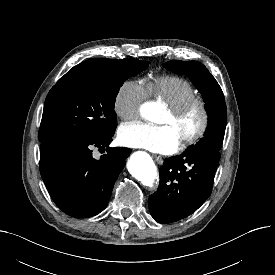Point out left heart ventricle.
<instances>
[{"instance_id":"obj_1","label":"left heart ventricle","mask_w":275,"mask_h":275,"mask_svg":"<svg viewBox=\"0 0 275 275\" xmlns=\"http://www.w3.org/2000/svg\"><path fill=\"white\" fill-rule=\"evenodd\" d=\"M201 122V112L195 107L179 118H173L167 110L160 120V124L170 126L179 142L192 135Z\"/></svg>"}]
</instances>
